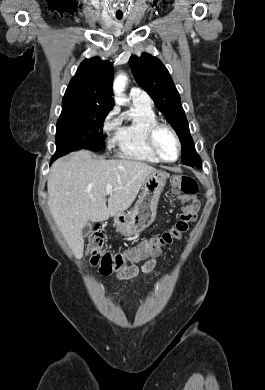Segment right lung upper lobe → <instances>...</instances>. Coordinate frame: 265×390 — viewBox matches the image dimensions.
<instances>
[{
    "label": "right lung upper lobe",
    "instance_id": "1",
    "mask_svg": "<svg viewBox=\"0 0 265 390\" xmlns=\"http://www.w3.org/2000/svg\"><path fill=\"white\" fill-rule=\"evenodd\" d=\"M114 70L108 60L99 57L85 59L71 79L62 103L96 105L112 109Z\"/></svg>",
    "mask_w": 265,
    "mask_h": 390
}]
</instances>
